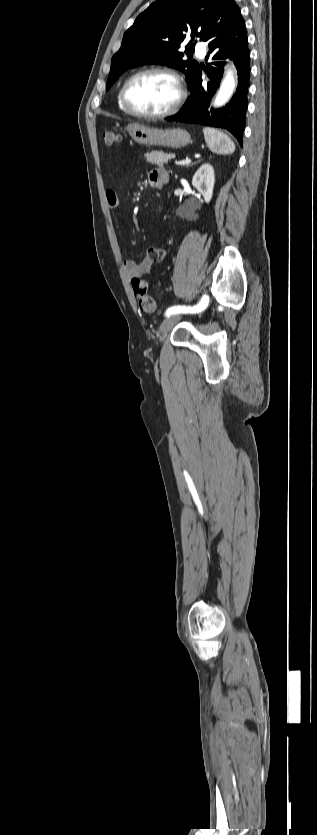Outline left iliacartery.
Instances as JSON below:
<instances>
[{"instance_id":"44dca946","label":"left iliac artery","mask_w":317,"mask_h":835,"mask_svg":"<svg viewBox=\"0 0 317 835\" xmlns=\"http://www.w3.org/2000/svg\"><path fill=\"white\" fill-rule=\"evenodd\" d=\"M208 305V296L206 294L203 295L201 301L194 306H172L167 309L165 316H170L178 313H197L204 310Z\"/></svg>"}]
</instances>
